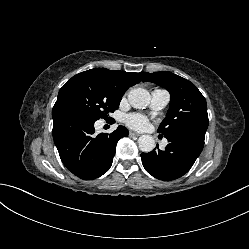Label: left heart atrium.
Instances as JSON below:
<instances>
[{
	"label": "left heart atrium",
	"mask_w": 249,
	"mask_h": 249,
	"mask_svg": "<svg viewBox=\"0 0 249 249\" xmlns=\"http://www.w3.org/2000/svg\"><path fill=\"white\" fill-rule=\"evenodd\" d=\"M126 124L134 129H143L148 126V120L141 114H129L126 116Z\"/></svg>",
	"instance_id": "39dd6f15"
}]
</instances>
